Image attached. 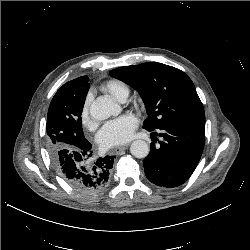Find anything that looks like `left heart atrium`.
<instances>
[{"mask_svg":"<svg viewBox=\"0 0 250 250\" xmlns=\"http://www.w3.org/2000/svg\"><path fill=\"white\" fill-rule=\"evenodd\" d=\"M138 126L137 118L125 114L108 121L99 131L97 140L102 148H110L130 141Z\"/></svg>","mask_w":250,"mask_h":250,"instance_id":"obj_1","label":"left heart atrium"}]
</instances>
